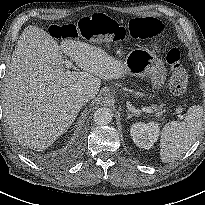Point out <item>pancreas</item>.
<instances>
[{
    "mask_svg": "<svg viewBox=\"0 0 205 205\" xmlns=\"http://www.w3.org/2000/svg\"><path fill=\"white\" fill-rule=\"evenodd\" d=\"M150 108L153 110L155 115L158 116V117L162 116V114L166 111L165 109L162 108L161 105L160 106L152 105Z\"/></svg>",
    "mask_w": 205,
    "mask_h": 205,
    "instance_id": "1",
    "label": "pancreas"
}]
</instances>
